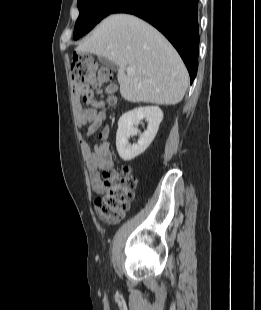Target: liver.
Segmentation results:
<instances>
[{"label":"liver","mask_w":261,"mask_h":310,"mask_svg":"<svg viewBox=\"0 0 261 310\" xmlns=\"http://www.w3.org/2000/svg\"><path fill=\"white\" fill-rule=\"evenodd\" d=\"M118 67L121 96L130 102L175 105L188 88V71L174 47L154 27L129 14L104 19L76 48ZM132 67L134 73H126Z\"/></svg>","instance_id":"obj_1"}]
</instances>
